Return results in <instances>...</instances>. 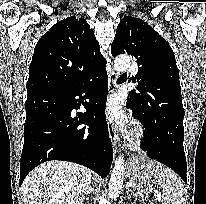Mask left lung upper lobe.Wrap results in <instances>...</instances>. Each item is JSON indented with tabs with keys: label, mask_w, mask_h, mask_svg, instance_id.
Masks as SVG:
<instances>
[{
	"label": "left lung upper lobe",
	"mask_w": 206,
	"mask_h": 204,
	"mask_svg": "<svg viewBox=\"0 0 206 204\" xmlns=\"http://www.w3.org/2000/svg\"><path fill=\"white\" fill-rule=\"evenodd\" d=\"M125 52L137 59V89L141 91L137 107L146 123L155 122L159 110L171 103H182L179 70L172 48L139 18L127 16L117 26L111 53L116 56ZM130 93L137 94L134 90Z\"/></svg>",
	"instance_id": "obj_1"
}]
</instances>
